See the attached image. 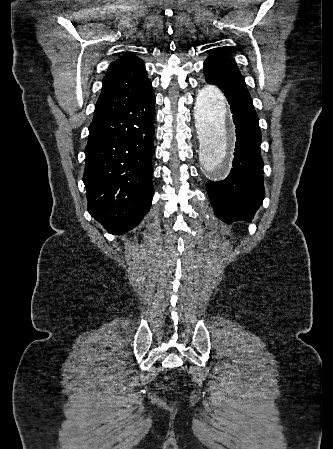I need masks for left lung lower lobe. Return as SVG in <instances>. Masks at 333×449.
<instances>
[{
	"label": "left lung lower lobe",
	"instance_id": "0a47b994",
	"mask_svg": "<svg viewBox=\"0 0 333 449\" xmlns=\"http://www.w3.org/2000/svg\"><path fill=\"white\" fill-rule=\"evenodd\" d=\"M205 80L225 94L236 127L233 168L226 179L206 183L209 198L222 221H251L265 196L259 119L246 85L211 73Z\"/></svg>",
	"mask_w": 333,
	"mask_h": 449
}]
</instances>
